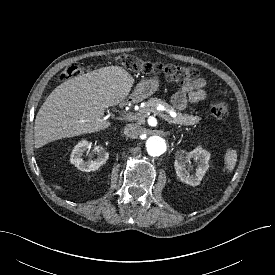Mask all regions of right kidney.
Returning a JSON list of instances; mask_svg holds the SVG:
<instances>
[{"instance_id": "ca27d5eb", "label": "right kidney", "mask_w": 275, "mask_h": 275, "mask_svg": "<svg viewBox=\"0 0 275 275\" xmlns=\"http://www.w3.org/2000/svg\"><path fill=\"white\" fill-rule=\"evenodd\" d=\"M91 148V144L86 141H80L72 150L70 162L79 170L84 172L96 171L99 169L101 165H103L109 158V153L104 150L101 145L94 146V153L97 154V158L95 160L88 159L84 161L82 159V155L85 151H89Z\"/></svg>"}]
</instances>
